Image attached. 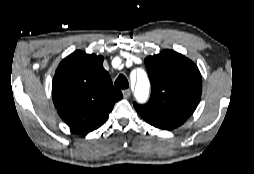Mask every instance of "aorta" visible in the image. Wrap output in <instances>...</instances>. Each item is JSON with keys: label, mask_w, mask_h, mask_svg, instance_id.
<instances>
[{"label": "aorta", "mask_w": 254, "mask_h": 174, "mask_svg": "<svg viewBox=\"0 0 254 174\" xmlns=\"http://www.w3.org/2000/svg\"><path fill=\"white\" fill-rule=\"evenodd\" d=\"M150 83L146 73L143 70H139L137 77L135 97L138 102L144 103L149 96Z\"/></svg>", "instance_id": "1"}]
</instances>
